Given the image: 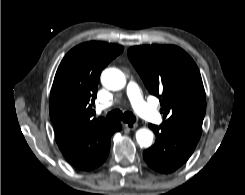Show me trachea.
I'll list each match as a JSON object with an SVG mask.
<instances>
[{
	"label": "trachea",
	"mask_w": 245,
	"mask_h": 195,
	"mask_svg": "<svg viewBox=\"0 0 245 195\" xmlns=\"http://www.w3.org/2000/svg\"><path fill=\"white\" fill-rule=\"evenodd\" d=\"M108 120L112 121H120L123 120L126 123H134L136 121V117L131 112H124L120 110H113L109 112L106 116Z\"/></svg>",
	"instance_id": "1"
}]
</instances>
